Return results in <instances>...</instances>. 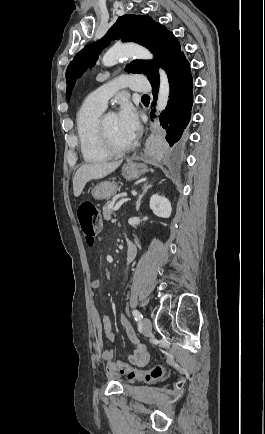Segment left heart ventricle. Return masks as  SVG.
I'll list each match as a JSON object with an SVG mask.
<instances>
[{
  "label": "left heart ventricle",
  "mask_w": 265,
  "mask_h": 434,
  "mask_svg": "<svg viewBox=\"0 0 265 434\" xmlns=\"http://www.w3.org/2000/svg\"><path fill=\"white\" fill-rule=\"evenodd\" d=\"M107 124L110 130L111 140L114 145L124 148L130 146L133 143L121 130L117 114H109L107 118Z\"/></svg>",
  "instance_id": "1"
}]
</instances>
